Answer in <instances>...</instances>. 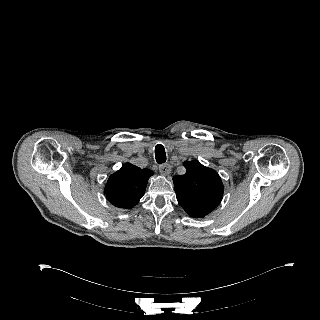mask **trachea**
Returning <instances> with one entry per match:
<instances>
[{
  "label": "trachea",
  "instance_id": "obj_1",
  "mask_svg": "<svg viewBox=\"0 0 320 320\" xmlns=\"http://www.w3.org/2000/svg\"><path fill=\"white\" fill-rule=\"evenodd\" d=\"M155 158L157 163L162 164L166 161V153L163 145L158 144L155 147Z\"/></svg>",
  "mask_w": 320,
  "mask_h": 320
}]
</instances>
